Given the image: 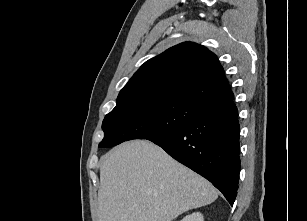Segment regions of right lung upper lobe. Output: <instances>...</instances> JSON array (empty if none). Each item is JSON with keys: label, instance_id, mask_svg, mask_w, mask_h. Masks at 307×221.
I'll use <instances>...</instances> for the list:
<instances>
[{"label": "right lung upper lobe", "instance_id": "right-lung-upper-lobe-1", "mask_svg": "<svg viewBox=\"0 0 307 221\" xmlns=\"http://www.w3.org/2000/svg\"><path fill=\"white\" fill-rule=\"evenodd\" d=\"M137 98L184 100L207 108L234 95L215 54L184 42L146 61L120 91L117 102Z\"/></svg>", "mask_w": 307, "mask_h": 221}]
</instances>
